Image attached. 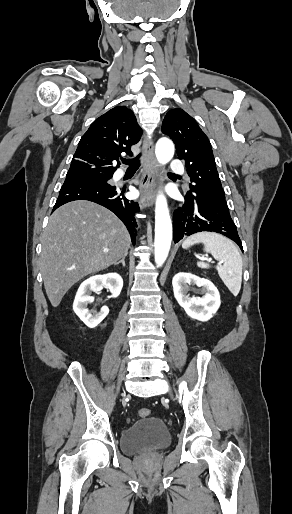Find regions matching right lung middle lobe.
<instances>
[{
  "mask_svg": "<svg viewBox=\"0 0 292 514\" xmlns=\"http://www.w3.org/2000/svg\"><path fill=\"white\" fill-rule=\"evenodd\" d=\"M112 175L113 174H104V173H97V172H90V173H67L66 179L82 177V178H91V179H96V180L108 181L109 179L112 178Z\"/></svg>",
  "mask_w": 292,
  "mask_h": 514,
  "instance_id": "dd1d6c3e",
  "label": "right lung middle lobe"
}]
</instances>
